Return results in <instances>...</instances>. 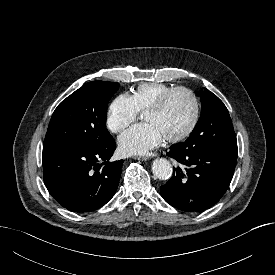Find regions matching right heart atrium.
<instances>
[{"label": "right heart atrium", "instance_id": "1", "mask_svg": "<svg viewBox=\"0 0 275 275\" xmlns=\"http://www.w3.org/2000/svg\"><path fill=\"white\" fill-rule=\"evenodd\" d=\"M139 115L131 95H118L109 105L106 125L113 133H119L133 123Z\"/></svg>", "mask_w": 275, "mask_h": 275}]
</instances>
